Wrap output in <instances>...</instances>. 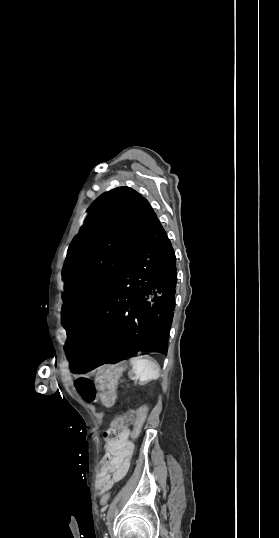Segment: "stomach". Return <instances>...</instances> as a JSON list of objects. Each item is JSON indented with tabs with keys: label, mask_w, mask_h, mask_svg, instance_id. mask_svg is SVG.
I'll use <instances>...</instances> for the list:
<instances>
[{
	"label": "stomach",
	"mask_w": 279,
	"mask_h": 538,
	"mask_svg": "<svg viewBox=\"0 0 279 538\" xmlns=\"http://www.w3.org/2000/svg\"><path fill=\"white\" fill-rule=\"evenodd\" d=\"M122 367L120 363H107L103 367H99L96 389L99 392L103 407L110 408L117 399V386L115 383L117 375L120 374Z\"/></svg>",
	"instance_id": "stomach-1"
}]
</instances>
